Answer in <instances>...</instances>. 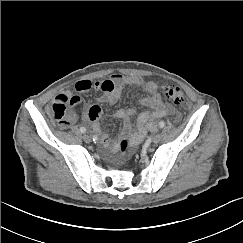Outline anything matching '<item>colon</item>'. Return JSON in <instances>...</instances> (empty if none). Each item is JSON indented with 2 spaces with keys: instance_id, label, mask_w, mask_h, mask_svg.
<instances>
[{
  "instance_id": "obj_1",
  "label": "colon",
  "mask_w": 243,
  "mask_h": 243,
  "mask_svg": "<svg viewBox=\"0 0 243 243\" xmlns=\"http://www.w3.org/2000/svg\"><path fill=\"white\" fill-rule=\"evenodd\" d=\"M162 94L165 99L171 101L177 106L184 107L187 105V100L182 92V90L175 85H165L162 89ZM52 115L58 121V124L62 128H66L70 122L68 115L66 114V105L62 103H55L52 107ZM129 148V141L123 139L120 142V151L122 154L126 153Z\"/></svg>"
}]
</instances>
